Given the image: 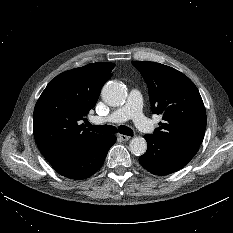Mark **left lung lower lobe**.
Instances as JSON below:
<instances>
[{
    "instance_id": "1",
    "label": "left lung lower lobe",
    "mask_w": 233,
    "mask_h": 233,
    "mask_svg": "<svg viewBox=\"0 0 233 233\" xmlns=\"http://www.w3.org/2000/svg\"><path fill=\"white\" fill-rule=\"evenodd\" d=\"M148 149L139 157L140 164L155 175H167L184 167L197 153L198 147L168 143L161 141L152 134L144 136Z\"/></svg>"
}]
</instances>
